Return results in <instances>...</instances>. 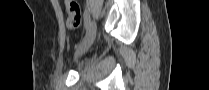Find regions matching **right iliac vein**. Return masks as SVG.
Here are the masks:
<instances>
[{
    "mask_svg": "<svg viewBox=\"0 0 209 90\" xmlns=\"http://www.w3.org/2000/svg\"><path fill=\"white\" fill-rule=\"evenodd\" d=\"M95 37H96V23L95 21H92L88 27V30L84 39L82 40V42L80 43L78 49L76 50L74 54L75 59H78L85 52H87V50L93 44Z\"/></svg>",
    "mask_w": 209,
    "mask_h": 90,
    "instance_id": "obj_1",
    "label": "right iliac vein"
}]
</instances>
